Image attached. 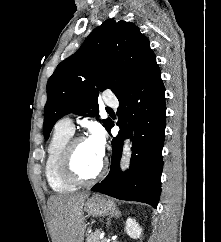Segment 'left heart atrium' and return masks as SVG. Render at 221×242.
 Wrapping results in <instances>:
<instances>
[{
	"instance_id": "39dd6f15",
	"label": "left heart atrium",
	"mask_w": 221,
	"mask_h": 242,
	"mask_svg": "<svg viewBox=\"0 0 221 242\" xmlns=\"http://www.w3.org/2000/svg\"><path fill=\"white\" fill-rule=\"evenodd\" d=\"M89 146L100 157L104 156L106 146V136L100 125L92 126L90 134L86 139Z\"/></svg>"
}]
</instances>
